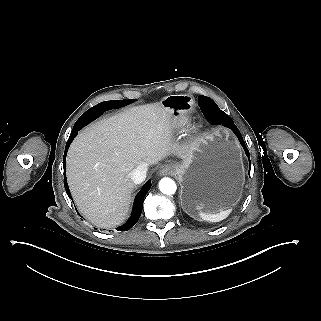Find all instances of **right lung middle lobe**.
Here are the masks:
<instances>
[{
    "label": "right lung middle lobe",
    "mask_w": 321,
    "mask_h": 321,
    "mask_svg": "<svg viewBox=\"0 0 321 321\" xmlns=\"http://www.w3.org/2000/svg\"><path fill=\"white\" fill-rule=\"evenodd\" d=\"M134 102V100H113V101H105L98 104V107L105 106V105H112V104H119V103H127L130 104Z\"/></svg>",
    "instance_id": "1"
}]
</instances>
